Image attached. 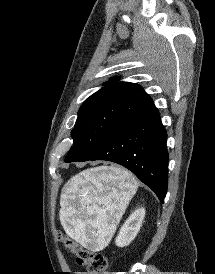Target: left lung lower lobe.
Here are the masks:
<instances>
[{
	"instance_id": "0a47b994",
	"label": "left lung lower lobe",
	"mask_w": 215,
	"mask_h": 274,
	"mask_svg": "<svg viewBox=\"0 0 215 274\" xmlns=\"http://www.w3.org/2000/svg\"><path fill=\"white\" fill-rule=\"evenodd\" d=\"M166 140V130L152 103L122 122L78 161L107 160L118 163L149 186L163 203L168 185Z\"/></svg>"
}]
</instances>
